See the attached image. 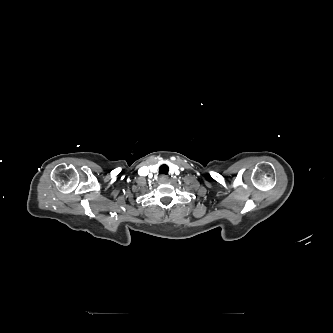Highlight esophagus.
Here are the masks:
<instances>
[{"label": "esophagus", "mask_w": 333, "mask_h": 333, "mask_svg": "<svg viewBox=\"0 0 333 333\" xmlns=\"http://www.w3.org/2000/svg\"><path fill=\"white\" fill-rule=\"evenodd\" d=\"M168 179L169 178L166 175H161L160 178H159L161 183H166L168 181Z\"/></svg>", "instance_id": "obj_1"}]
</instances>
